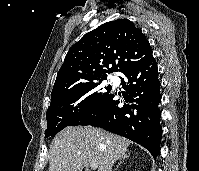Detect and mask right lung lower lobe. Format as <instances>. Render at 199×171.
Masks as SVG:
<instances>
[{
	"label": "right lung lower lobe",
	"instance_id": "1",
	"mask_svg": "<svg viewBox=\"0 0 199 171\" xmlns=\"http://www.w3.org/2000/svg\"><path fill=\"white\" fill-rule=\"evenodd\" d=\"M121 85L124 105L108 93L69 126L91 125L126 137L158 156L162 129L160 126L161 100L158 68L153 56L124 71Z\"/></svg>",
	"mask_w": 199,
	"mask_h": 171
}]
</instances>
